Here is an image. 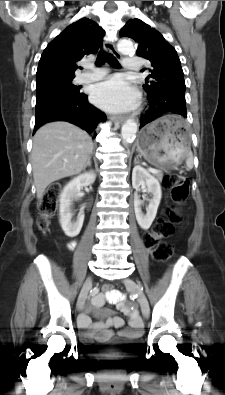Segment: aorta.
<instances>
[{
	"label": "aorta",
	"mask_w": 225,
	"mask_h": 395,
	"mask_svg": "<svg viewBox=\"0 0 225 395\" xmlns=\"http://www.w3.org/2000/svg\"><path fill=\"white\" fill-rule=\"evenodd\" d=\"M117 48H118L119 52H121L122 54H125V55H130V54L135 53V48L133 46V43L129 40H126V39L119 41ZM137 130H138L137 123L132 119L127 120L123 124L122 129H121V137H122L123 143L127 144V143L133 141L136 137Z\"/></svg>",
	"instance_id": "obj_1"
}]
</instances>
